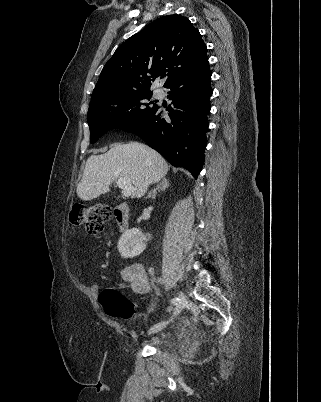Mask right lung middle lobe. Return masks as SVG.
<instances>
[{
    "mask_svg": "<svg viewBox=\"0 0 321 402\" xmlns=\"http://www.w3.org/2000/svg\"><path fill=\"white\" fill-rule=\"evenodd\" d=\"M151 96L150 91L136 92L89 107L90 143L111 129L134 124L152 113L157 104L147 101Z\"/></svg>",
    "mask_w": 321,
    "mask_h": 402,
    "instance_id": "1",
    "label": "right lung middle lobe"
}]
</instances>
